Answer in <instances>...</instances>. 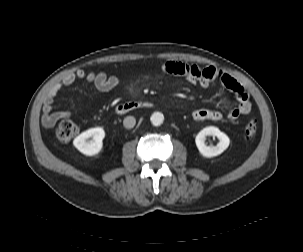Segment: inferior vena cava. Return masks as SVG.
I'll use <instances>...</instances> for the list:
<instances>
[{
  "label": "inferior vena cava",
  "instance_id": "602c4592",
  "mask_svg": "<svg viewBox=\"0 0 303 252\" xmlns=\"http://www.w3.org/2000/svg\"><path fill=\"white\" fill-rule=\"evenodd\" d=\"M136 120L133 116H127L124 118L123 125L125 128H133L135 126Z\"/></svg>",
  "mask_w": 303,
  "mask_h": 252
}]
</instances>
